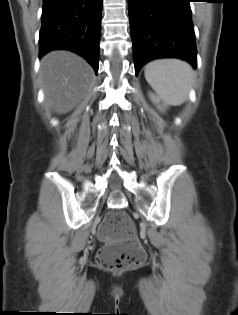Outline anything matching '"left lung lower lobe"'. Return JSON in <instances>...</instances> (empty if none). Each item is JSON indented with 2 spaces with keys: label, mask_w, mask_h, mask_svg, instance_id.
I'll return each mask as SVG.
<instances>
[{
  "label": "left lung lower lobe",
  "mask_w": 238,
  "mask_h": 315,
  "mask_svg": "<svg viewBox=\"0 0 238 315\" xmlns=\"http://www.w3.org/2000/svg\"><path fill=\"white\" fill-rule=\"evenodd\" d=\"M191 0H128L135 73L157 58H180L196 67Z\"/></svg>",
  "instance_id": "left-lung-lower-lobe-1"
}]
</instances>
